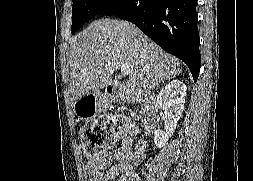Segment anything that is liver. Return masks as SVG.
I'll return each instance as SVG.
<instances>
[{"instance_id":"obj_1","label":"liver","mask_w":253,"mask_h":181,"mask_svg":"<svg viewBox=\"0 0 253 181\" xmlns=\"http://www.w3.org/2000/svg\"><path fill=\"white\" fill-rule=\"evenodd\" d=\"M68 85L75 103L108 86L130 96L151 91L182 71L180 61L126 21L99 19L72 38L68 52ZM123 64L133 66L126 83L113 80Z\"/></svg>"}]
</instances>
